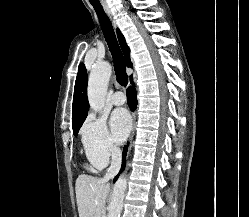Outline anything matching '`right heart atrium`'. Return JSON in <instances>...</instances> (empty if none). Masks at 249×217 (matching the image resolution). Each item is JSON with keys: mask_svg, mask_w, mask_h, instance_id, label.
Here are the masks:
<instances>
[{"mask_svg": "<svg viewBox=\"0 0 249 217\" xmlns=\"http://www.w3.org/2000/svg\"><path fill=\"white\" fill-rule=\"evenodd\" d=\"M81 138L87 159L97 168L105 167L117 150L104 118L90 115L82 126Z\"/></svg>", "mask_w": 249, "mask_h": 217, "instance_id": "right-heart-atrium-1", "label": "right heart atrium"}]
</instances>
